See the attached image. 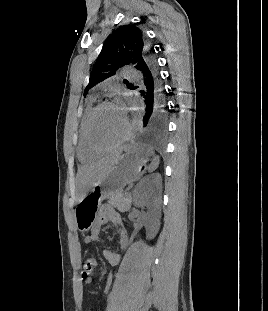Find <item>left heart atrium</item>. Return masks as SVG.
Here are the masks:
<instances>
[{"label": "left heart atrium", "instance_id": "39dd6f15", "mask_svg": "<svg viewBox=\"0 0 268 311\" xmlns=\"http://www.w3.org/2000/svg\"><path fill=\"white\" fill-rule=\"evenodd\" d=\"M114 106H115V108L118 109V110L122 113V115L124 116V110H125V108H124V105L122 104V102H121V101H117L116 104H115Z\"/></svg>", "mask_w": 268, "mask_h": 311}]
</instances>
